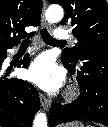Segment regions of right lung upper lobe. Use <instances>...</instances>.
Instances as JSON below:
<instances>
[{
  "mask_svg": "<svg viewBox=\"0 0 108 127\" xmlns=\"http://www.w3.org/2000/svg\"><path fill=\"white\" fill-rule=\"evenodd\" d=\"M42 7L40 0H0V47L18 44L25 27L38 25Z\"/></svg>",
  "mask_w": 108,
  "mask_h": 127,
  "instance_id": "cb5924a9",
  "label": "right lung upper lobe"
}]
</instances>
